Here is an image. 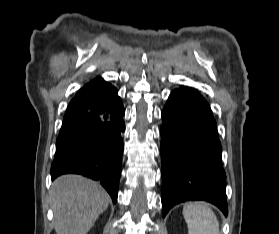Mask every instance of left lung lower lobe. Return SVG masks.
I'll return each instance as SVG.
<instances>
[{
  "label": "left lung lower lobe",
  "mask_w": 279,
  "mask_h": 234,
  "mask_svg": "<svg viewBox=\"0 0 279 234\" xmlns=\"http://www.w3.org/2000/svg\"><path fill=\"white\" fill-rule=\"evenodd\" d=\"M162 119L163 217L189 200L211 202L227 215L221 143L209 104L195 90L181 87L170 94Z\"/></svg>",
  "instance_id": "1"
}]
</instances>
